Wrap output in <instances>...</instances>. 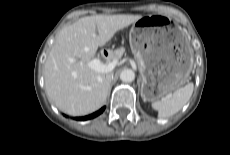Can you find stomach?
<instances>
[{
    "mask_svg": "<svg viewBox=\"0 0 230 155\" xmlns=\"http://www.w3.org/2000/svg\"><path fill=\"white\" fill-rule=\"evenodd\" d=\"M142 77L141 96L159 101L183 86L193 67V50L183 29L163 15L142 16L129 34Z\"/></svg>",
    "mask_w": 230,
    "mask_h": 155,
    "instance_id": "0dacf381",
    "label": "stomach"
}]
</instances>
